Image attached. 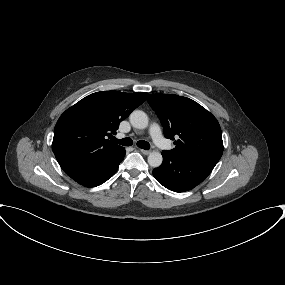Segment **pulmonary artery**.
Listing matches in <instances>:
<instances>
[{
	"label": "pulmonary artery",
	"mask_w": 285,
	"mask_h": 285,
	"mask_svg": "<svg viewBox=\"0 0 285 285\" xmlns=\"http://www.w3.org/2000/svg\"><path fill=\"white\" fill-rule=\"evenodd\" d=\"M149 134L152 137L154 143L158 147H160V148H166L167 147V141L163 137L161 128L158 124H156V123L151 124L150 129H149Z\"/></svg>",
	"instance_id": "1"
}]
</instances>
